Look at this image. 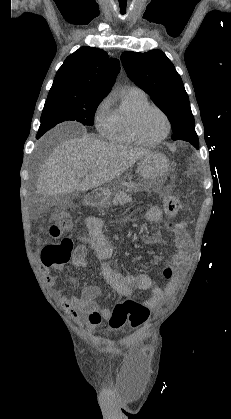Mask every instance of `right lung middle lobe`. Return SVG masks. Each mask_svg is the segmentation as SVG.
Here are the masks:
<instances>
[{
	"label": "right lung middle lobe",
	"instance_id": "1",
	"mask_svg": "<svg viewBox=\"0 0 231 419\" xmlns=\"http://www.w3.org/2000/svg\"><path fill=\"white\" fill-rule=\"evenodd\" d=\"M103 98L78 97L67 90H50L41 115L37 138L56 124L76 120L83 125H93L94 114Z\"/></svg>",
	"mask_w": 231,
	"mask_h": 419
}]
</instances>
